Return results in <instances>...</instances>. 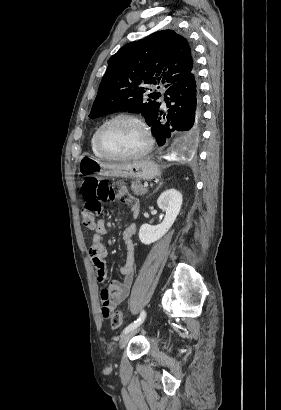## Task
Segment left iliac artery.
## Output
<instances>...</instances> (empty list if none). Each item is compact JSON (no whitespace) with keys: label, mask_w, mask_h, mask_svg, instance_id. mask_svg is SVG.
I'll return each instance as SVG.
<instances>
[{"label":"left iliac artery","mask_w":281,"mask_h":410,"mask_svg":"<svg viewBox=\"0 0 281 410\" xmlns=\"http://www.w3.org/2000/svg\"><path fill=\"white\" fill-rule=\"evenodd\" d=\"M146 316V312L143 310L140 313V316L138 317V319L134 322H132L131 324H129L124 330H123V334L129 332L130 330L136 328L138 325H140L142 323V321L145 319Z\"/></svg>","instance_id":"obj_1"}]
</instances>
